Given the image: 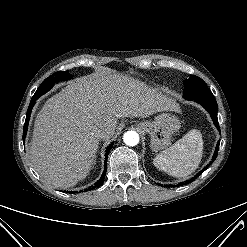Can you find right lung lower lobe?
<instances>
[{"instance_id": "right-lung-lower-lobe-1", "label": "right lung lower lobe", "mask_w": 247, "mask_h": 247, "mask_svg": "<svg viewBox=\"0 0 247 247\" xmlns=\"http://www.w3.org/2000/svg\"><path fill=\"white\" fill-rule=\"evenodd\" d=\"M37 99L36 98H32L31 99V102H30V105L28 107V110H27V115H26V120H25V124H24V129H23V142L25 141V137H26V133H27V129H28V122H29V119H30V114H31V110L35 104V101ZM114 142H112L108 148L106 149V155H105V169H104V172H103V175L101 176V178L95 183V186H93V188H96V187H99L103 184L104 182V178H105V175H106V171H107V158H108V154L113 146ZM89 190H91V188H89Z\"/></svg>"}]
</instances>
